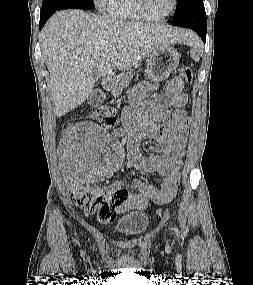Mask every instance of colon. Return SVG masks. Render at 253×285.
Here are the masks:
<instances>
[{"instance_id":"obj_1","label":"colon","mask_w":253,"mask_h":285,"mask_svg":"<svg viewBox=\"0 0 253 285\" xmlns=\"http://www.w3.org/2000/svg\"><path fill=\"white\" fill-rule=\"evenodd\" d=\"M180 76L191 83L193 72L190 67L183 66L179 70ZM60 149H57L59 167L58 172H63V179L67 180L70 194L77 206L88 213H97L100 220L108 222L116 214L117 206L123 204L128 198V191L124 187L114 186H87L78 180V175L70 171V151L72 144L68 140H60Z\"/></svg>"}]
</instances>
